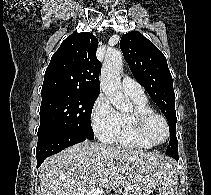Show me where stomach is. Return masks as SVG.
<instances>
[{
	"label": "stomach",
	"instance_id": "stomach-1",
	"mask_svg": "<svg viewBox=\"0 0 211 195\" xmlns=\"http://www.w3.org/2000/svg\"><path fill=\"white\" fill-rule=\"evenodd\" d=\"M177 182V177L173 168L165 174L160 182L158 183L159 186V194L158 195H174V186ZM136 195H146L144 192H133Z\"/></svg>",
	"mask_w": 211,
	"mask_h": 195
}]
</instances>
